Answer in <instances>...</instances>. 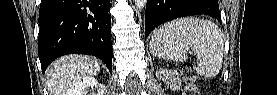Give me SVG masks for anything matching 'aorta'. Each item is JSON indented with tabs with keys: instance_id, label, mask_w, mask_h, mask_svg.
Returning <instances> with one entry per match:
<instances>
[{
	"instance_id": "762f6f07",
	"label": "aorta",
	"mask_w": 277,
	"mask_h": 95,
	"mask_svg": "<svg viewBox=\"0 0 277 95\" xmlns=\"http://www.w3.org/2000/svg\"><path fill=\"white\" fill-rule=\"evenodd\" d=\"M147 0H134L137 10H142L146 6Z\"/></svg>"
}]
</instances>
